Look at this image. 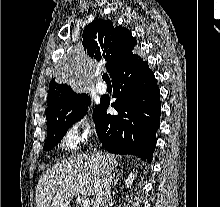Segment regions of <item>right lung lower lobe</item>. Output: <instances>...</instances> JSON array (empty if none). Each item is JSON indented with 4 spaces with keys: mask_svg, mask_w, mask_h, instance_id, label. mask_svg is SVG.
<instances>
[{
    "mask_svg": "<svg viewBox=\"0 0 220 207\" xmlns=\"http://www.w3.org/2000/svg\"><path fill=\"white\" fill-rule=\"evenodd\" d=\"M112 83L117 99L111 106L119 114H107L109 100L100 101L93 112L98 138L110 153L132 154L150 163L161 115L154 73L134 54L115 70Z\"/></svg>",
    "mask_w": 220,
    "mask_h": 207,
    "instance_id": "right-lung-lower-lobe-1",
    "label": "right lung lower lobe"
}]
</instances>
